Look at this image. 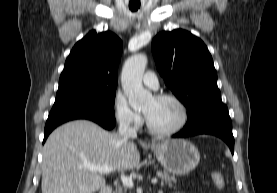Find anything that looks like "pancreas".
Wrapping results in <instances>:
<instances>
[{"instance_id": "obj_1", "label": "pancreas", "mask_w": 277, "mask_h": 193, "mask_svg": "<svg viewBox=\"0 0 277 193\" xmlns=\"http://www.w3.org/2000/svg\"><path fill=\"white\" fill-rule=\"evenodd\" d=\"M158 176L161 178L162 185L168 184L169 186H172V183L176 182V178L174 176H170L166 171L158 172ZM114 193H127V189L119 187Z\"/></svg>"}]
</instances>
